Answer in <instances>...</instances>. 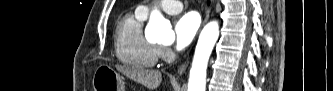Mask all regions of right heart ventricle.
Segmentation results:
<instances>
[{
	"label": "right heart ventricle",
	"instance_id": "obj_1",
	"mask_svg": "<svg viewBox=\"0 0 333 91\" xmlns=\"http://www.w3.org/2000/svg\"><path fill=\"white\" fill-rule=\"evenodd\" d=\"M146 16L138 11L124 16L115 32V52L120 62L135 68L153 67L158 61V47L150 43L142 33Z\"/></svg>",
	"mask_w": 333,
	"mask_h": 91
}]
</instances>
